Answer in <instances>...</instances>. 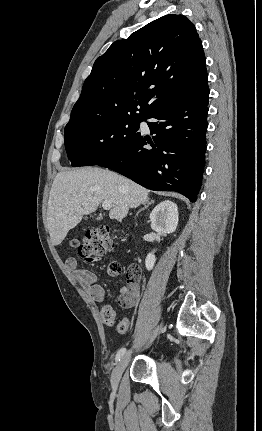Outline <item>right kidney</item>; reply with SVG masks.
<instances>
[{"label": "right kidney", "mask_w": 262, "mask_h": 431, "mask_svg": "<svg viewBox=\"0 0 262 431\" xmlns=\"http://www.w3.org/2000/svg\"><path fill=\"white\" fill-rule=\"evenodd\" d=\"M178 217L177 205L170 200H165L152 210L150 214L151 228L161 234L173 233L178 225ZM155 262V255L149 253L145 259L146 269L152 270Z\"/></svg>", "instance_id": "right-kidney-1"}]
</instances>
